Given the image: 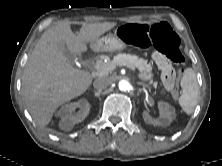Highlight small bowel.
Here are the masks:
<instances>
[{
	"mask_svg": "<svg viewBox=\"0 0 222 166\" xmlns=\"http://www.w3.org/2000/svg\"><path fill=\"white\" fill-rule=\"evenodd\" d=\"M153 60H154V62L157 64V66L162 70L163 61H164L163 55L160 54V53H155V54L153 55ZM144 77H146V75H144Z\"/></svg>",
	"mask_w": 222,
	"mask_h": 166,
	"instance_id": "obj_1",
	"label": "small bowel"
}]
</instances>
